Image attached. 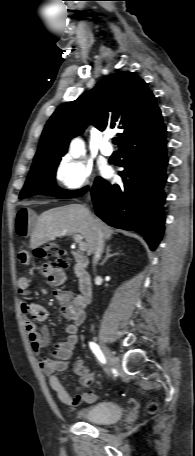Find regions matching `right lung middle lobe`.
Segmentation results:
<instances>
[{
    "instance_id": "1",
    "label": "right lung middle lobe",
    "mask_w": 195,
    "mask_h": 456,
    "mask_svg": "<svg viewBox=\"0 0 195 456\" xmlns=\"http://www.w3.org/2000/svg\"><path fill=\"white\" fill-rule=\"evenodd\" d=\"M59 162L60 159H55L33 165L25 186L21 191L20 199L34 195H49L57 198L82 196L87 191V187L80 190L68 191L56 186L55 173ZM99 179L98 177L95 182Z\"/></svg>"
}]
</instances>
